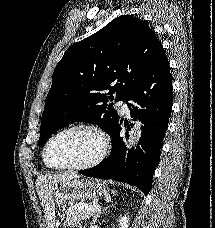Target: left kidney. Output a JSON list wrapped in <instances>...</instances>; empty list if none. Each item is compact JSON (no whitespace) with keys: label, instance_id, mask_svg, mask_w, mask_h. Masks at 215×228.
<instances>
[{"label":"left kidney","instance_id":"left-kidney-1","mask_svg":"<svg viewBox=\"0 0 215 228\" xmlns=\"http://www.w3.org/2000/svg\"><path fill=\"white\" fill-rule=\"evenodd\" d=\"M129 222V216H122L121 220H119V228H129Z\"/></svg>","mask_w":215,"mask_h":228}]
</instances>
